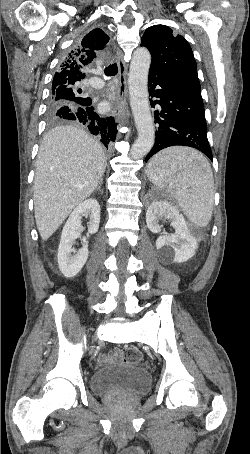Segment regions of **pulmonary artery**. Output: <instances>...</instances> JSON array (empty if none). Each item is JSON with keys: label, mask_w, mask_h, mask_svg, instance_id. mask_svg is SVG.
Instances as JSON below:
<instances>
[{"label": "pulmonary artery", "mask_w": 250, "mask_h": 454, "mask_svg": "<svg viewBox=\"0 0 250 454\" xmlns=\"http://www.w3.org/2000/svg\"><path fill=\"white\" fill-rule=\"evenodd\" d=\"M88 83L95 88H101L104 86V81L99 77H91L88 80Z\"/></svg>", "instance_id": "1"}]
</instances>
